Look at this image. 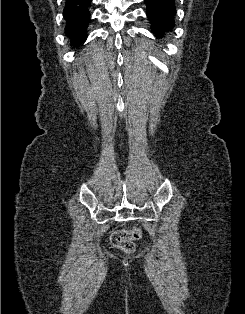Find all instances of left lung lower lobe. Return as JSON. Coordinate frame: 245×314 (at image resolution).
<instances>
[{"label":"left lung lower lobe","mask_w":245,"mask_h":314,"mask_svg":"<svg viewBox=\"0 0 245 314\" xmlns=\"http://www.w3.org/2000/svg\"><path fill=\"white\" fill-rule=\"evenodd\" d=\"M175 0H145L152 33L161 38L174 27Z\"/></svg>","instance_id":"obj_1"}]
</instances>
